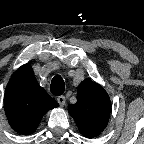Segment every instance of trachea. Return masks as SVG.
I'll return each instance as SVG.
<instances>
[{"instance_id": "1", "label": "trachea", "mask_w": 144, "mask_h": 144, "mask_svg": "<svg viewBox=\"0 0 144 144\" xmlns=\"http://www.w3.org/2000/svg\"><path fill=\"white\" fill-rule=\"evenodd\" d=\"M50 91L55 96H60L64 93L65 91L64 81L60 76H55L52 79Z\"/></svg>"}]
</instances>
